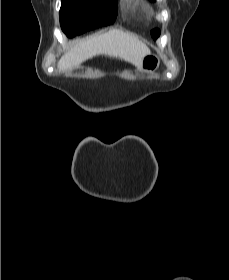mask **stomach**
<instances>
[{"label":"stomach","mask_w":229,"mask_h":280,"mask_svg":"<svg viewBox=\"0 0 229 280\" xmlns=\"http://www.w3.org/2000/svg\"><path fill=\"white\" fill-rule=\"evenodd\" d=\"M160 65V59L157 55L149 54L142 60L141 70L148 73L155 72Z\"/></svg>","instance_id":"stomach-1"}]
</instances>
